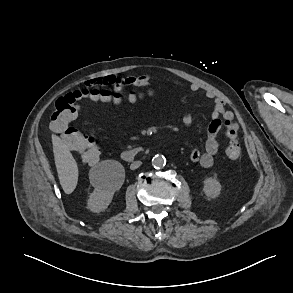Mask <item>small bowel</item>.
<instances>
[{"label":"small bowel","instance_id":"1","mask_svg":"<svg viewBox=\"0 0 293 293\" xmlns=\"http://www.w3.org/2000/svg\"><path fill=\"white\" fill-rule=\"evenodd\" d=\"M152 78L149 75H137L128 77H118L114 75H105L101 77H95L88 79L85 82L86 86H98L105 85L112 89L114 97L104 101L107 106L119 105L124 102L136 103L146 97L153 96L155 88L151 85ZM127 87H142L146 88L145 93L135 94L130 93L123 97L121 93ZM190 90L197 92L201 90V87L197 83L190 84ZM205 96L212 100L213 109L212 117L213 120L210 122L207 129V137L205 142V148L203 151L199 149H193L190 153V159L192 162L199 163L203 167H210L214 158L218 152L219 142L217 135L222 128L223 123H232L234 121V113L225 108L224 101L213 91L207 90ZM183 124L186 127H190L193 124V117L190 112L184 113L182 117Z\"/></svg>","mask_w":293,"mask_h":293}]
</instances>
